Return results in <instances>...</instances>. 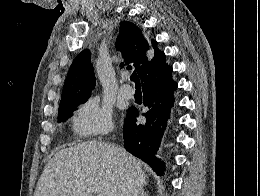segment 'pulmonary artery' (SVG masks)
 Returning a JSON list of instances; mask_svg holds the SVG:
<instances>
[{"label":"pulmonary artery","mask_w":260,"mask_h":196,"mask_svg":"<svg viewBox=\"0 0 260 196\" xmlns=\"http://www.w3.org/2000/svg\"><path fill=\"white\" fill-rule=\"evenodd\" d=\"M120 94L124 98L131 99L134 96L135 91L130 85H124L120 89Z\"/></svg>","instance_id":"obj_1"}]
</instances>
